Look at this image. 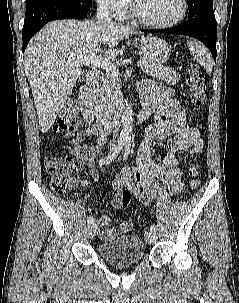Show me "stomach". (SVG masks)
<instances>
[{
  "instance_id": "0dacf381",
  "label": "stomach",
  "mask_w": 239,
  "mask_h": 303,
  "mask_svg": "<svg viewBox=\"0 0 239 303\" xmlns=\"http://www.w3.org/2000/svg\"><path fill=\"white\" fill-rule=\"evenodd\" d=\"M134 46L153 62L165 63L171 55V47L162 39L141 36L134 39Z\"/></svg>"
}]
</instances>
